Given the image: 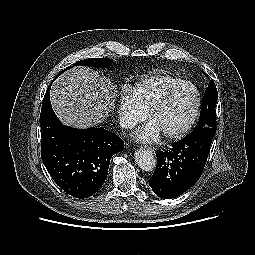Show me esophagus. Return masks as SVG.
I'll use <instances>...</instances> for the list:
<instances>
[{"mask_svg": "<svg viewBox=\"0 0 255 255\" xmlns=\"http://www.w3.org/2000/svg\"><path fill=\"white\" fill-rule=\"evenodd\" d=\"M144 148L150 151L151 153H155V148L152 146H144Z\"/></svg>", "mask_w": 255, "mask_h": 255, "instance_id": "obj_1", "label": "esophagus"}]
</instances>
